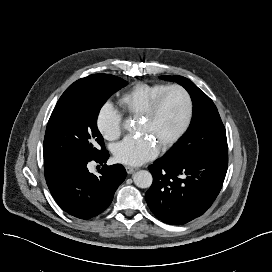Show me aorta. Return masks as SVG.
Segmentation results:
<instances>
[{
    "instance_id": "762f6f07",
    "label": "aorta",
    "mask_w": 272,
    "mask_h": 272,
    "mask_svg": "<svg viewBox=\"0 0 272 272\" xmlns=\"http://www.w3.org/2000/svg\"><path fill=\"white\" fill-rule=\"evenodd\" d=\"M123 126L126 130L130 131L132 129V124L130 120H126ZM133 180L137 187L144 189L151 186L153 178L149 171L140 170L133 175Z\"/></svg>"
}]
</instances>
